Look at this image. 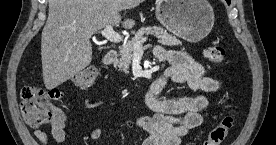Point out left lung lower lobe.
<instances>
[{
    "mask_svg": "<svg viewBox=\"0 0 276 145\" xmlns=\"http://www.w3.org/2000/svg\"><path fill=\"white\" fill-rule=\"evenodd\" d=\"M226 1H227L228 4H230V1H231V0H226Z\"/></svg>",
    "mask_w": 276,
    "mask_h": 145,
    "instance_id": "left-lung-lower-lobe-1",
    "label": "left lung lower lobe"
}]
</instances>
